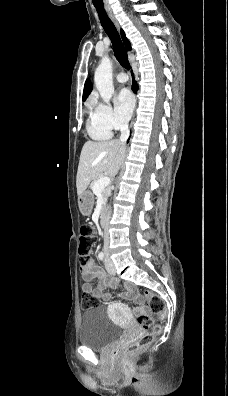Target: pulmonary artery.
I'll return each instance as SVG.
<instances>
[{
  "label": "pulmonary artery",
  "instance_id": "e3ab8cb5",
  "mask_svg": "<svg viewBox=\"0 0 228 396\" xmlns=\"http://www.w3.org/2000/svg\"><path fill=\"white\" fill-rule=\"evenodd\" d=\"M116 80L120 83H125L128 80V76L125 73H118L116 75Z\"/></svg>",
  "mask_w": 228,
  "mask_h": 396
}]
</instances>
